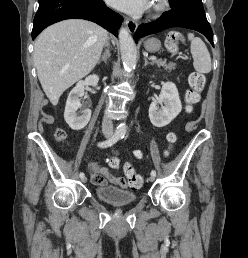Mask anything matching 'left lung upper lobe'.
<instances>
[{
  "mask_svg": "<svg viewBox=\"0 0 248 258\" xmlns=\"http://www.w3.org/2000/svg\"><path fill=\"white\" fill-rule=\"evenodd\" d=\"M187 2L202 3L201 0H169L170 5H177V4L187 3Z\"/></svg>",
  "mask_w": 248,
  "mask_h": 258,
  "instance_id": "5c2ea615",
  "label": "left lung upper lobe"
}]
</instances>
